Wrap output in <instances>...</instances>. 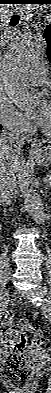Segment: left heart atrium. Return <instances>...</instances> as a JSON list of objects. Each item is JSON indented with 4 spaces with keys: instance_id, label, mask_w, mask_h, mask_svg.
Segmentation results:
<instances>
[{
    "instance_id": "39dd6f15",
    "label": "left heart atrium",
    "mask_w": 51,
    "mask_h": 393,
    "mask_svg": "<svg viewBox=\"0 0 51 393\" xmlns=\"http://www.w3.org/2000/svg\"><path fill=\"white\" fill-rule=\"evenodd\" d=\"M49 110V104L47 102H43L40 109L33 117L38 125H45L49 116Z\"/></svg>"
}]
</instances>
